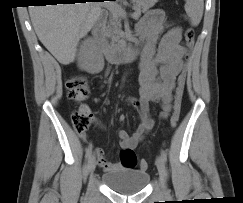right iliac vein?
Segmentation results:
<instances>
[{"label": "right iliac vein", "instance_id": "obj_1", "mask_svg": "<svg viewBox=\"0 0 243 203\" xmlns=\"http://www.w3.org/2000/svg\"><path fill=\"white\" fill-rule=\"evenodd\" d=\"M96 167V158L94 155H91L88 159V170L93 173Z\"/></svg>", "mask_w": 243, "mask_h": 203}]
</instances>
